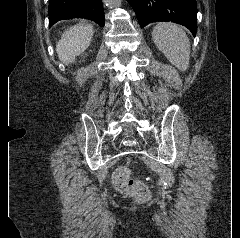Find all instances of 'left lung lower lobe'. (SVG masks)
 I'll return each mask as SVG.
<instances>
[{
    "mask_svg": "<svg viewBox=\"0 0 240 238\" xmlns=\"http://www.w3.org/2000/svg\"><path fill=\"white\" fill-rule=\"evenodd\" d=\"M141 27L154 21H172L197 32L196 0H127Z\"/></svg>",
    "mask_w": 240,
    "mask_h": 238,
    "instance_id": "1",
    "label": "left lung lower lobe"
}]
</instances>
